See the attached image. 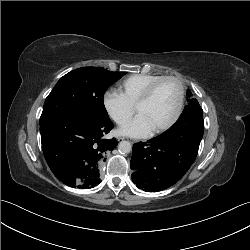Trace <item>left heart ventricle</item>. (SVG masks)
<instances>
[{
  "mask_svg": "<svg viewBox=\"0 0 250 250\" xmlns=\"http://www.w3.org/2000/svg\"><path fill=\"white\" fill-rule=\"evenodd\" d=\"M179 97V86L174 81H165L158 86L151 99L137 109L152 131L166 124L173 116Z\"/></svg>",
  "mask_w": 250,
  "mask_h": 250,
  "instance_id": "obj_1",
  "label": "left heart ventricle"
}]
</instances>
